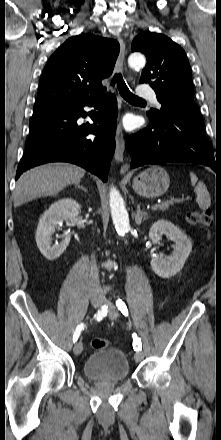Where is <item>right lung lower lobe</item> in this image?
I'll return each instance as SVG.
<instances>
[{
	"label": "right lung lower lobe",
	"instance_id": "1",
	"mask_svg": "<svg viewBox=\"0 0 221 440\" xmlns=\"http://www.w3.org/2000/svg\"><path fill=\"white\" fill-rule=\"evenodd\" d=\"M85 106L95 110L86 113ZM87 115L94 124L77 125L78 118ZM116 118L117 103L112 94L34 109L16 179L30 168L60 161L77 164L107 181L115 151Z\"/></svg>",
	"mask_w": 221,
	"mask_h": 440
}]
</instances>
